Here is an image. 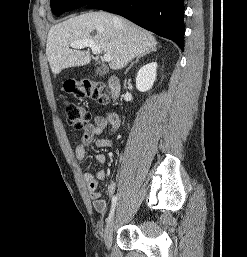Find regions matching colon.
Returning <instances> with one entry per match:
<instances>
[{"mask_svg": "<svg viewBox=\"0 0 247 257\" xmlns=\"http://www.w3.org/2000/svg\"><path fill=\"white\" fill-rule=\"evenodd\" d=\"M64 90L78 100L91 98L102 104L108 102L105 86L88 78L79 81L69 80L64 84ZM65 114L68 124L75 129L84 128L91 120V113L73 102L65 103Z\"/></svg>", "mask_w": 247, "mask_h": 257, "instance_id": "colon-1", "label": "colon"}]
</instances>
